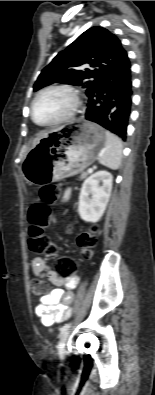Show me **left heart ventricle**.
I'll list each match as a JSON object with an SVG mask.
<instances>
[{
	"instance_id": "left-heart-ventricle-1",
	"label": "left heart ventricle",
	"mask_w": 155,
	"mask_h": 395,
	"mask_svg": "<svg viewBox=\"0 0 155 395\" xmlns=\"http://www.w3.org/2000/svg\"><path fill=\"white\" fill-rule=\"evenodd\" d=\"M71 105L70 96L62 91H52L41 96L34 107V118L44 124L63 116Z\"/></svg>"
}]
</instances>
